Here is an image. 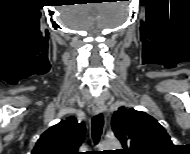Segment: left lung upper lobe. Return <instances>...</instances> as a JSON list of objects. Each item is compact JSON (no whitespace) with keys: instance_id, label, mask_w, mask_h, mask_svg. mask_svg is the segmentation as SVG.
Segmentation results:
<instances>
[{"instance_id":"obj_1","label":"left lung upper lobe","mask_w":190,"mask_h":154,"mask_svg":"<svg viewBox=\"0 0 190 154\" xmlns=\"http://www.w3.org/2000/svg\"><path fill=\"white\" fill-rule=\"evenodd\" d=\"M112 129L122 154H162L173 144L166 130L145 112L120 107L112 117Z\"/></svg>"}]
</instances>
